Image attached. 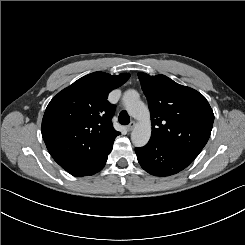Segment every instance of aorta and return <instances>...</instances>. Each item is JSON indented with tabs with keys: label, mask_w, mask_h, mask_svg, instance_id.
<instances>
[{
	"label": "aorta",
	"mask_w": 245,
	"mask_h": 245,
	"mask_svg": "<svg viewBox=\"0 0 245 245\" xmlns=\"http://www.w3.org/2000/svg\"><path fill=\"white\" fill-rule=\"evenodd\" d=\"M123 102L127 112L138 120L137 125L131 133V141L136 147H143L151 137L149 109L139 99V94L135 90L126 91L123 95Z\"/></svg>",
	"instance_id": "aorta-1"
}]
</instances>
